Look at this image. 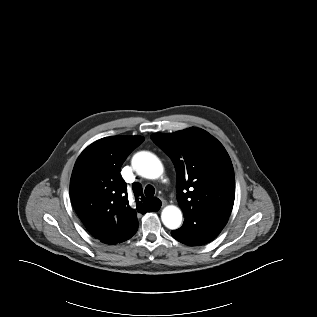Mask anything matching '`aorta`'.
<instances>
[{
	"mask_svg": "<svg viewBox=\"0 0 317 317\" xmlns=\"http://www.w3.org/2000/svg\"><path fill=\"white\" fill-rule=\"evenodd\" d=\"M133 169L142 177L156 179L162 174V164L158 157L151 152L141 151L132 158ZM163 224L169 229L179 228L182 222L181 210L174 206H166L161 213Z\"/></svg>",
	"mask_w": 317,
	"mask_h": 317,
	"instance_id": "aorta-1",
	"label": "aorta"
}]
</instances>
